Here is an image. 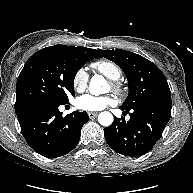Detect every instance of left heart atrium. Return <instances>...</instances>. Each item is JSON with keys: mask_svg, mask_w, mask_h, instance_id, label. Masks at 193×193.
Segmentation results:
<instances>
[{"mask_svg": "<svg viewBox=\"0 0 193 193\" xmlns=\"http://www.w3.org/2000/svg\"><path fill=\"white\" fill-rule=\"evenodd\" d=\"M114 100L111 96H94L91 94H84L78 97L75 101V106L83 111H100L112 105Z\"/></svg>", "mask_w": 193, "mask_h": 193, "instance_id": "obj_1", "label": "left heart atrium"}]
</instances>
